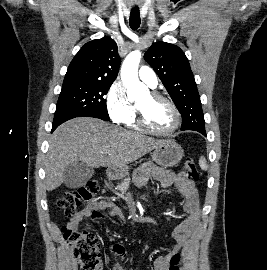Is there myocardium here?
<instances>
[{"mask_svg":"<svg viewBox=\"0 0 267 270\" xmlns=\"http://www.w3.org/2000/svg\"><path fill=\"white\" fill-rule=\"evenodd\" d=\"M150 96L153 99L164 101L165 103H167L170 106V108H171V110L173 112V115H174V123H173L172 127L167 131L155 130V129L151 128L146 123L141 110L137 107L136 108L137 109V124L139 125V127L142 130H144L145 132H147L149 134H152V135H155V136H160V137L171 136L172 134H174L177 131V129L180 126L181 115H180L179 109L177 108L176 104L170 98H168L167 96H165V95H163L161 93L151 92Z\"/></svg>","mask_w":267,"mask_h":270,"instance_id":"myocardium-1","label":"myocardium"}]
</instances>
